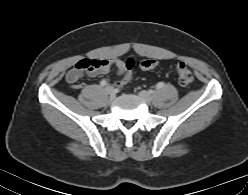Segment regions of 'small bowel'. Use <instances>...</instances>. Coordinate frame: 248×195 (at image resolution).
<instances>
[{
  "label": "small bowel",
  "mask_w": 248,
  "mask_h": 195,
  "mask_svg": "<svg viewBox=\"0 0 248 195\" xmlns=\"http://www.w3.org/2000/svg\"><path fill=\"white\" fill-rule=\"evenodd\" d=\"M113 67L116 69V72L120 77L117 81V84L120 85V80L126 73L125 61L122 59H93L91 61V70L87 75L95 77L101 74H107Z\"/></svg>",
  "instance_id": "obj_1"
}]
</instances>
